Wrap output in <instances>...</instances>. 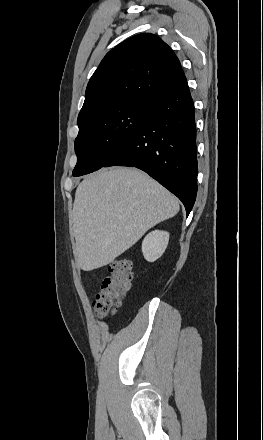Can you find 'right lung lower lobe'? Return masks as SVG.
Instances as JSON below:
<instances>
[{"label": "right lung lower lobe", "instance_id": "98d812e1", "mask_svg": "<svg viewBox=\"0 0 263 440\" xmlns=\"http://www.w3.org/2000/svg\"><path fill=\"white\" fill-rule=\"evenodd\" d=\"M108 166L136 167L175 194L189 215L197 194L194 103L187 81L149 103L138 129L109 156Z\"/></svg>", "mask_w": 263, "mask_h": 440}]
</instances>
